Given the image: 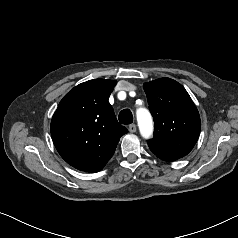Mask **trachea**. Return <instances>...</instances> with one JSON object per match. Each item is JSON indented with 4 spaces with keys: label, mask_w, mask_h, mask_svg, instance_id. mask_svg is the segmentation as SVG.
Returning a JSON list of instances; mask_svg holds the SVG:
<instances>
[{
    "label": "trachea",
    "mask_w": 238,
    "mask_h": 238,
    "mask_svg": "<svg viewBox=\"0 0 238 238\" xmlns=\"http://www.w3.org/2000/svg\"><path fill=\"white\" fill-rule=\"evenodd\" d=\"M119 122L124 125L131 124L133 122V115L129 109H124L119 113Z\"/></svg>",
    "instance_id": "trachea-1"
}]
</instances>
